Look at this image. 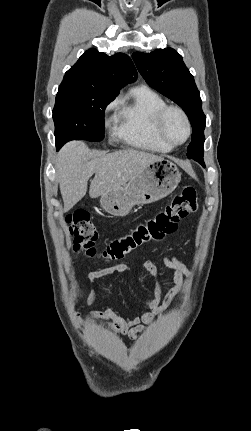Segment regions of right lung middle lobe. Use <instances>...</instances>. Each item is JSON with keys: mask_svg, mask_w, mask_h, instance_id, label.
Returning <instances> with one entry per match:
<instances>
[{"mask_svg": "<svg viewBox=\"0 0 251 431\" xmlns=\"http://www.w3.org/2000/svg\"><path fill=\"white\" fill-rule=\"evenodd\" d=\"M116 96L60 85L53 109L56 146L72 139L101 141L104 138V110Z\"/></svg>", "mask_w": 251, "mask_h": 431, "instance_id": "1", "label": "right lung middle lobe"}]
</instances>
